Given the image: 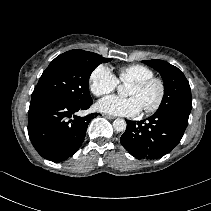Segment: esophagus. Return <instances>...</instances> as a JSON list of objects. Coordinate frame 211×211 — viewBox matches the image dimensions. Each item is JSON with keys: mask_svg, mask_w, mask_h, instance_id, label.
<instances>
[{"mask_svg": "<svg viewBox=\"0 0 211 211\" xmlns=\"http://www.w3.org/2000/svg\"><path fill=\"white\" fill-rule=\"evenodd\" d=\"M103 116L107 119H110V120L115 118L114 116H111V115H108V114H103Z\"/></svg>", "mask_w": 211, "mask_h": 211, "instance_id": "obj_1", "label": "esophagus"}]
</instances>
